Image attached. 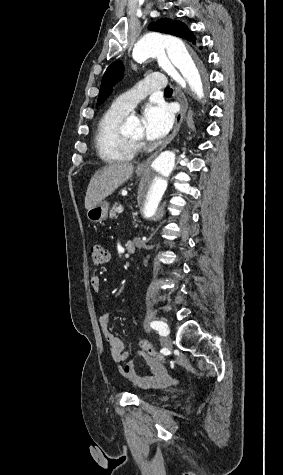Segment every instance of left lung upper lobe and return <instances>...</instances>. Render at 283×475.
Returning <instances> with one entry per match:
<instances>
[{
    "mask_svg": "<svg viewBox=\"0 0 283 475\" xmlns=\"http://www.w3.org/2000/svg\"><path fill=\"white\" fill-rule=\"evenodd\" d=\"M149 29L161 33H167L182 38H186L192 42L195 38L191 31L187 30V26L181 21H173L169 18H163L152 22L149 25ZM123 64L120 61L112 63L106 70L100 87V93L97 101V105L103 103L107 97L111 94L113 86L121 80L123 76Z\"/></svg>",
    "mask_w": 283,
    "mask_h": 475,
    "instance_id": "1",
    "label": "left lung upper lobe"
}]
</instances>
